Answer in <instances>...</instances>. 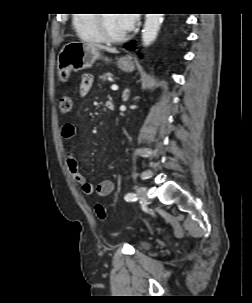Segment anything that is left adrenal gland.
Instances as JSON below:
<instances>
[{
  "instance_id": "obj_1",
  "label": "left adrenal gland",
  "mask_w": 252,
  "mask_h": 303,
  "mask_svg": "<svg viewBox=\"0 0 252 303\" xmlns=\"http://www.w3.org/2000/svg\"><path fill=\"white\" fill-rule=\"evenodd\" d=\"M130 95V90L129 88L125 89L124 93H123V100L127 101Z\"/></svg>"
}]
</instances>
